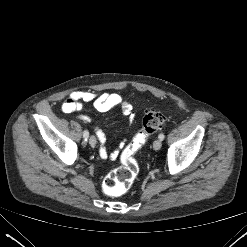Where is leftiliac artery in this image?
<instances>
[{
    "mask_svg": "<svg viewBox=\"0 0 247 247\" xmlns=\"http://www.w3.org/2000/svg\"><path fill=\"white\" fill-rule=\"evenodd\" d=\"M158 138L162 141L165 138V135L163 133L159 134Z\"/></svg>",
    "mask_w": 247,
    "mask_h": 247,
    "instance_id": "44dca946",
    "label": "left iliac artery"
}]
</instances>
